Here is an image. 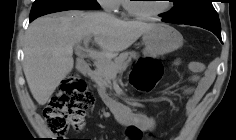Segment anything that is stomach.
Returning <instances> with one entry per match:
<instances>
[{"instance_id":"stomach-1","label":"stomach","mask_w":236,"mask_h":140,"mask_svg":"<svg viewBox=\"0 0 236 140\" xmlns=\"http://www.w3.org/2000/svg\"><path fill=\"white\" fill-rule=\"evenodd\" d=\"M146 56L164 55L176 51L183 45L182 35L168 24L159 23L142 36Z\"/></svg>"}]
</instances>
